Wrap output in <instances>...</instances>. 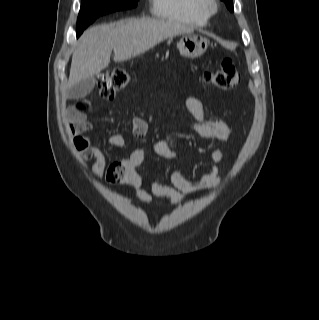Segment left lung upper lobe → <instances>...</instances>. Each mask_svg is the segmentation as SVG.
Masks as SVG:
<instances>
[{
    "label": "left lung upper lobe",
    "mask_w": 319,
    "mask_h": 320,
    "mask_svg": "<svg viewBox=\"0 0 319 320\" xmlns=\"http://www.w3.org/2000/svg\"><path fill=\"white\" fill-rule=\"evenodd\" d=\"M230 11H234L232 0H222Z\"/></svg>",
    "instance_id": "5c2ea615"
}]
</instances>
